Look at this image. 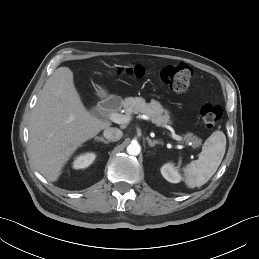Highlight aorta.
Wrapping results in <instances>:
<instances>
[{"instance_id": "762f6f07", "label": "aorta", "mask_w": 259, "mask_h": 259, "mask_svg": "<svg viewBox=\"0 0 259 259\" xmlns=\"http://www.w3.org/2000/svg\"><path fill=\"white\" fill-rule=\"evenodd\" d=\"M126 150L129 155L137 156L141 151V146L138 143H131Z\"/></svg>"}]
</instances>
